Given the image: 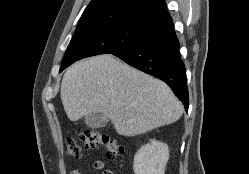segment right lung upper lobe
<instances>
[{"label": "right lung upper lobe", "instance_id": "1", "mask_svg": "<svg viewBox=\"0 0 249 174\" xmlns=\"http://www.w3.org/2000/svg\"><path fill=\"white\" fill-rule=\"evenodd\" d=\"M169 17L164 0H92L83 12L76 31L120 22L149 25Z\"/></svg>", "mask_w": 249, "mask_h": 174}]
</instances>
